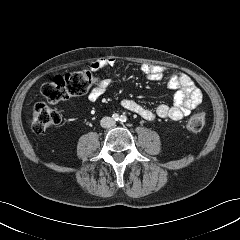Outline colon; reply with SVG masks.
I'll return each instance as SVG.
<instances>
[{"instance_id": "1", "label": "colon", "mask_w": 240, "mask_h": 240, "mask_svg": "<svg viewBox=\"0 0 240 240\" xmlns=\"http://www.w3.org/2000/svg\"><path fill=\"white\" fill-rule=\"evenodd\" d=\"M95 78L89 72L78 71L58 75L41 86L42 96L52 104L70 97L85 95L94 85ZM62 111L49 107L44 103L34 106L30 120L31 128L36 133H42L62 121ZM205 125V115L197 111L187 122V129L192 133L199 132Z\"/></svg>"}]
</instances>
